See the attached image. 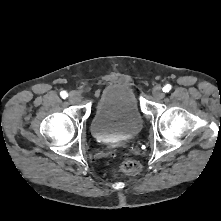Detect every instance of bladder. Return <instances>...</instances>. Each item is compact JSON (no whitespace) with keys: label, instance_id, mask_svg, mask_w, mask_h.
I'll return each instance as SVG.
<instances>
[{"label":"bladder","instance_id":"obj_1","mask_svg":"<svg viewBox=\"0 0 221 221\" xmlns=\"http://www.w3.org/2000/svg\"><path fill=\"white\" fill-rule=\"evenodd\" d=\"M143 126L136 96L122 83L107 85L101 92L91 120L93 136L105 143L137 136Z\"/></svg>","mask_w":221,"mask_h":221}]
</instances>
